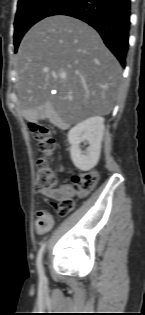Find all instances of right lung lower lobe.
Segmentation results:
<instances>
[{"label": "right lung lower lobe", "instance_id": "obj_1", "mask_svg": "<svg viewBox=\"0 0 145 315\" xmlns=\"http://www.w3.org/2000/svg\"><path fill=\"white\" fill-rule=\"evenodd\" d=\"M130 0H67L50 16L67 15L94 27L125 67L130 30Z\"/></svg>", "mask_w": 145, "mask_h": 315}]
</instances>
